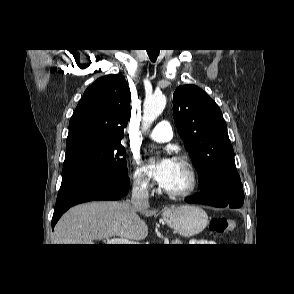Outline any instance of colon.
<instances>
[{"label":"colon","instance_id":"colon-1","mask_svg":"<svg viewBox=\"0 0 294 294\" xmlns=\"http://www.w3.org/2000/svg\"><path fill=\"white\" fill-rule=\"evenodd\" d=\"M210 229L218 234L231 233L236 228V222L231 219L218 217L213 218L209 223Z\"/></svg>","mask_w":294,"mask_h":294}]
</instances>
